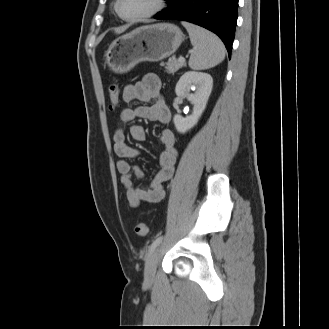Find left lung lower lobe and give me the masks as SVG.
I'll return each instance as SVG.
<instances>
[{"mask_svg": "<svg viewBox=\"0 0 329 329\" xmlns=\"http://www.w3.org/2000/svg\"><path fill=\"white\" fill-rule=\"evenodd\" d=\"M168 8L155 19L182 20L204 27L220 37L229 57L235 36L238 0H167Z\"/></svg>", "mask_w": 329, "mask_h": 329, "instance_id": "0a47b994", "label": "left lung lower lobe"}]
</instances>
